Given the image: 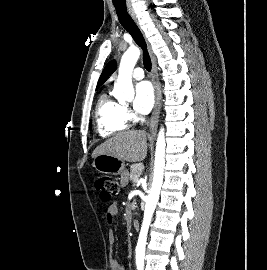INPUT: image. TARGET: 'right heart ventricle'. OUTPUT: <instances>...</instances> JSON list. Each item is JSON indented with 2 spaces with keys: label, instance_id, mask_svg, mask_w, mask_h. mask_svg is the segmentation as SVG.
I'll use <instances>...</instances> for the list:
<instances>
[{
  "label": "right heart ventricle",
  "instance_id": "1",
  "mask_svg": "<svg viewBox=\"0 0 267 270\" xmlns=\"http://www.w3.org/2000/svg\"><path fill=\"white\" fill-rule=\"evenodd\" d=\"M95 119L97 132L103 138L123 132L128 128L123 106L106 92L102 93L97 101Z\"/></svg>",
  "mask_w": 267,
  "mask_h": 270
}]
</instances>
